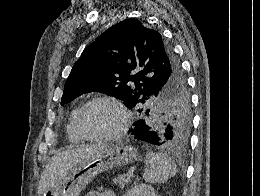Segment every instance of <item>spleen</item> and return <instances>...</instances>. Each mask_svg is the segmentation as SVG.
I'll use <instances>...</instances> for the list:
<instances>
[{"instance_id":"spleen-1","label":"spleen","mask_w":260,"mask_h":196,"mask_svg":"<svg viewBox=\"0 0 260 196\" xmlns=\"http://www.w3.org/2000/svg\"><path fill=\"white\" fill-rule=\"evenodd\" d=\"M146 148L145 170L143 180L149 184H164L170 178H173L177 172L175 162L168 160L163 154H155L150 150V146Z\"/></svg>"}]
</instances>
